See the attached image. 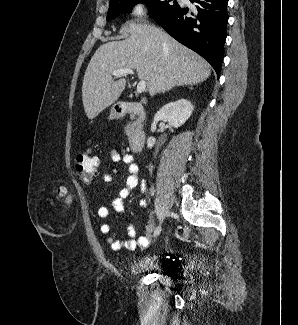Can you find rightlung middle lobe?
Here are the masks:
<instances>
[{"mask_svg": "<svg viewBox=\"0 0 298 325\" xmlns=\"http://www.w3.org/2000/svg\"><path fill=\"white\" fill-rule=\"evenodd\" d=\"M169 1L172 0H115L109 4L107 21L112 20L122 12L130 13L133 5L139 2L147 4L151 8V17H156L165 11L179 6L177 2L171 5Z\"/></svg>", "mask_w": 298, "mask_h": 325, "instance_id": "obj_1", "label": "right lung middle lobe"}]
</instances>
